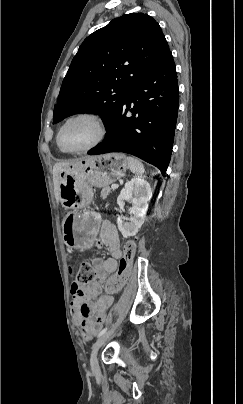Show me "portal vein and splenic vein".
Instances as JSON below:
<instances>
[{
	"mask_svg": "<svg viewBox=\"0 0 243 404\" xmlns=\"http://www.w3.org/2000/svg\"><path fill=\"white\" fill-rule=\"evenodd\" d=\"M115 188H119L118 184H112L111 190H115Z\"/></svg>",
	"mask_w": 243,
	"mask_h": 404,
	"instance_id": "portal-vein-and-splenic-vein-1",
	"label": "portal vein and splenic vein"
}]
</instances>
